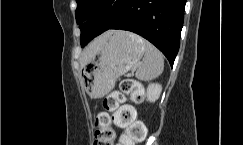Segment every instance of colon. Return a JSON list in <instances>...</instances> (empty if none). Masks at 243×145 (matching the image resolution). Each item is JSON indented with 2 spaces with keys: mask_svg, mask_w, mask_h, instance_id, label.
Listing matches in <instances>:
<instances>
[{
  "mask_svg": "<svg viewBox=\"0 0 243 145\" xmlns=\"http://www.w3.org/2000/svg\"><path fill=\"white\" fill-rule=\"evenodd\" d=\"M125 97H129L135 104L142 103L144 99L142 87L133 79H123L119 84V89L104 99V111L95 118L94 145H114L116 132L113 126L125 129L117 145H135L144 139L146 128L141 121L136 119V110L133 106L122 105Z\"/></svg>",
  "mask_w": 243,
  "mask_h": 145,
  "instance_id": "colon-1",
  "label": "colon"
}]
</instances>
